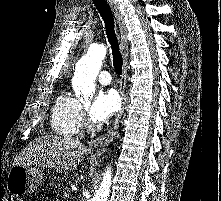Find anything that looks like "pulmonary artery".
<instances>
[{"label": "pulmonary artery", "instance_id": "obj_1", "mask_svg": "<svg viewBox=\"0 0 221 201\" xmlns=\"http://www.w3.org/2000/svg\"><path fill=\"white\" fill-rule=\"evenodd\" d=\"M98 81L102 85H108L111 82V75L108 71H102L98 76Z\"/></svg>", "mask_w": 221, "mask_h": 201}]
</instances>
